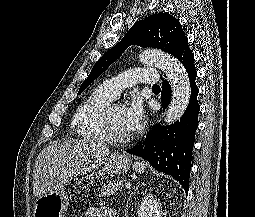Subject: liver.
<instances>
[{"instance_id": "1", "label": "liver", "mask_w": 255, "mask_h": 217, "mask_svg": "<svg viewBox=\"0 0 255 217\" xmlns=\"http://www.w3.org/2000/svg\"><path fill=\"white\" fill-rule=\"evenodd\" d=\"M109 154L106 144L88 140H72L46 147L35 161L33 195L40 197L53 192L73 178L97 170Z\"/></svg>"}]
</instances>
